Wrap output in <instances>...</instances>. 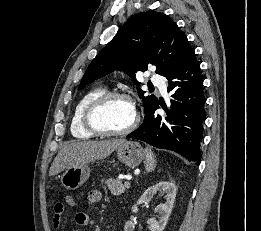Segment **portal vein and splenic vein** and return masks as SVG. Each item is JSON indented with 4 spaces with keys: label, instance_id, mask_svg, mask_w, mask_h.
Segmentation results:
<instances>
[{
    "label": "portal vein and splenic vein",
    "instance_id": "obj_1",
    "mask_svg": "<svg viewBox=\"0 0 261 231\" xmlns=\"http://www.w3.org/2000/svg\"><path fill=\"white\" fill-rule=\"evenodd\" d=\"M125 185H130V183L128 182V181H125V183H124Z\"/></svg>",
    "mask_w": 261,
    "mask_h": 231
}]
</instances>
